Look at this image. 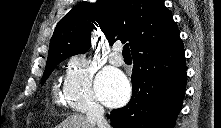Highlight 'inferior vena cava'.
Instances as JSON below:
<instances>
[{"mask_svg":"<svg viewBox=\"0 0 221 128\" xmlns=\"http://www.w3.org/2000/svg\"><path fill=\"white\" fill-rule=\"evenodd\" d=\"M87 119L96 124L97 128H110V125L104 118V108L96 102L90 104L86 114Z\"/></svg>","mask_w":221,"mask_h":128,"instance_id":"1","label":"inferior vena cava"}]
</instances>
